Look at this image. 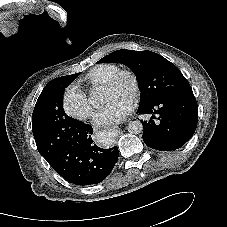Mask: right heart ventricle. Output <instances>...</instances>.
<instances>
[{
    "label": "right heart ventricle",
    "instance_id": "right-heart-ventricle-1",
    "mask_svg": "<svg viewBox=\"0 0 227 227\" xmlns=\"http://www.w3.org/2000/svg\"><path fill=\"white\" fill-rule=\"evenodd\" d=\"M121 67L118 64L105 62L94 65L82 77L81 82L91 88L104 85Z\"/></svg>",
    "mask_w": 227,
    "mask_h": 227
}]
</instances>
